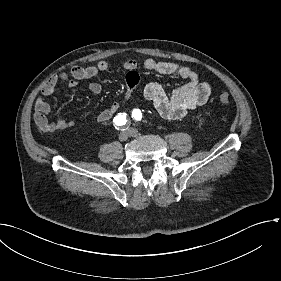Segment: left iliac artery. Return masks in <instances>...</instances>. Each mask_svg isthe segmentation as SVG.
I'll list each match as a JSON object with an SVG mask.
<instances>
[{"label":"left iliac artery","mask_w":281,"mask_h":281,"mask_svg":"<svg viewBox=\"0 0 281 281\" xmlns=\"http://www.w3.org/2000/svg\"><path fill=\"white\" fill-rule=\"evenodd\" d=\"M132 118L136 121H140L142 118V113L139 109H134L132 112Z\"/></svg>","instance_id":"1"}]
</instances>
